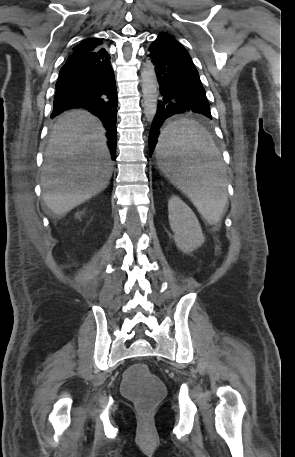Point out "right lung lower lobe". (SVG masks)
<instances>
[{"instance_id": "obj_1", "label": "right lung lower lobe", "mask_w": 295, "mask_h": 457, "mask_svg": "<svg viewBox=\"0 0 295 457\" xmlns=\"http://www.w3.org/2000/svg\"><path fill=\"white\" fill-rule=\"evenodd\" d=\"M117 105L116 82L108 52L98 48L69 55L59 72L51 118L72 108L89 110L103 122L114 156Z\"/></svg>"}]
</instances>
